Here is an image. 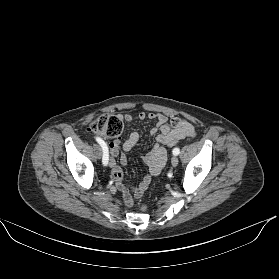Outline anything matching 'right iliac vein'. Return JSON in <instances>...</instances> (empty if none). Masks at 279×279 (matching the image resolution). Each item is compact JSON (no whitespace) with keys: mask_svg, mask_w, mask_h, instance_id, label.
Returning a JSON list of instances; mask_svg holds the SVG:
<instances>
[{"mask_svg":"<svg viewBox=\"0 0 279 279\" xmlns=\"http://www.w3.org/2000/svg\"><path fill=\"white\" fill-rule=\"evenodd\" d=\"M115 165V160L113 158L109 159V166L113 167Z\"/></svg>","mask_w":279,"mask_h":279,"instance_id":"63e3f726","label":"right iliac vein"}]
</instances>
